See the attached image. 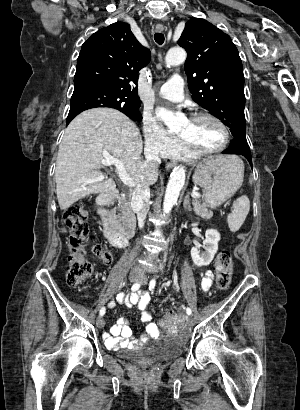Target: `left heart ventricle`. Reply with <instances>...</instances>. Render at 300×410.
<instances>
[{
    "label": "left heart ventricle",
    "instance_id": "obj_1",
    "mask_svg": "<svg viewBox=\"0 0 300 410\" xmlns=\"http://www.w3.org/2000/svg\"><path fill=\"white\" fill-rule=\"evenodd\" d=\"M179 135L189 140L200 150L218 148L224 141V133L221 127L208 119L186 121L179 131Z\"/></svg>",
    "mask_w": 300,
    "mask_h": 410
}]
</instances>
